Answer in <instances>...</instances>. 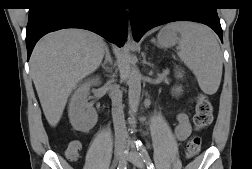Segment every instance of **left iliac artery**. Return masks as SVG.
<instances>
[{"label": "left iliac artery", "mask_w": 252, "mask_h": 169, "mask_svg": "<svg viewBox=\"0 0 252 169\" xmlns=\"http://www.w3.org/2000/svg\"><path fill=\"white\" fill-rule=\"evenodd\" d=\"M136 146L137 149L139 150V154L142 157L143 161L146 163L147 165V169H155L150 156L146 150V148L144 147V145L141 143V141H136Z\"/></svg>", "instance_id": "left-iliac-artery-1"}]
</instances>
